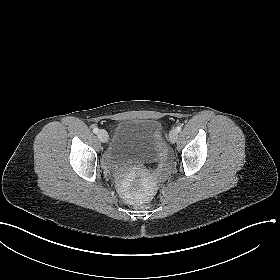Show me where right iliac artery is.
I'll use <instances>...</instances> for the list:
<instances>
[{
    "mask_svg": "<svg viewBox=\"0 0 280 280\" xmlns=\"http://www.w3.org/2000/svg\"><path fill=\"white\" fill-rule=\"evenodd\" d=\"M98 131H99V129H98L97 127H94V128H93V132H94L95 134H97Z\"/></svg>",
    "mask_w": 280,
    "mask_h": 280,
    "instance_id": "1",
    "label": "right iliac artery"
}]
</instances>
